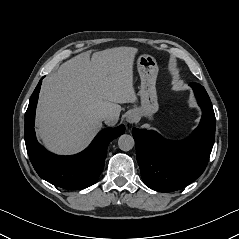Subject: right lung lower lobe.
I'll return each mask as SVG.
<instances>
[{
  "label": "right lung lower lobe",
  "instance_id": "1",
  "mask_svg": "<svg viewBox=\"0 0 239 239\" xmlns=\"http://www.w3.org/2000/svg\"><path fill=\"white\" fill-rule=\"evenodd\" d=\"M42 80L35 88L25 113V144L38 175L64 189H83L97 182L103 171L108 144L125 132L124 125L102 130L83 152L58 156L48 152L37 141L34 130L35 110Z\"/></svg>",
  "mask_w": 239,
  "mask_h": 239
}]
</instances>
